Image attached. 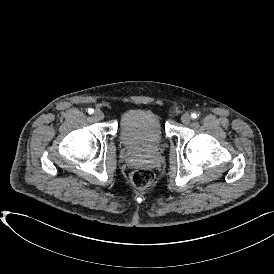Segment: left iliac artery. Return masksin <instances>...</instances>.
<instances>
[{"instance_id": "1", "label": "left iliac artery", "mask_w": 274, "mask_h": 274, "mask_svg": "<svg viewBox=\"0 0 274 274\" xmlns=\"http://www.w3.org/2000/svg\"><path fill=\"white\" fill-rule=\"evenodd\" d=\"M197 116H198V115H197L196 113H192V114H191V117H192L193 119L197 118Z\"/></svg>"}]
</instances>
